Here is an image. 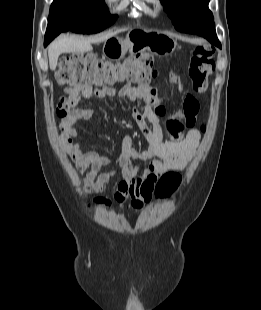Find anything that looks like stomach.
I'll use <instances>...</instances> for the list:
<instances>
[{
	"label": "stomach",
	"instance_id": "stomach-1",
	"mask_svg": "<svg viewBox=\"0 0 261 310\" xmlns=\"http://www.w3.org/2000/svg\"><path fill=\"white\" fill-rule=\"evenodd\" d=\"M176 41L158 31L134 29L128 32L125 39L110 38L105 41L103 52L113 61L122 59L127 51L147 50L157 56H167L176 48Z\"/></svg>",
	"mask_w": 261,
	"mask_h": 310
}]
</instances>
